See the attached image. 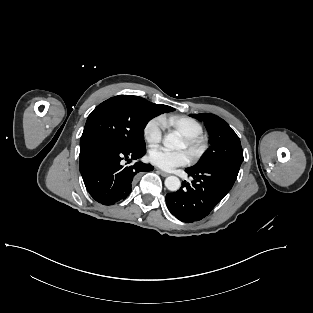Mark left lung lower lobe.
I'll use <instances>...</instances> for the list:
<instances>
[{
	"mask_svg": "<svg viewBox=\"0 0 313 313\" xmlns=\"http://www.w3.org/2000/svg\"><path fill=\"white\" fill-rule=\"evenodd\" d=\"M240 166L218 164L202 168H186L191 184L166 195L169 211L180 221L194 222L206 217L232 188Z\"/></svg>",
	"mask_w": 313,
	"mask_h": 313,
	"instance_id": "obj_1",
	"label": "left lung lower lobe"
}]
</instances>
